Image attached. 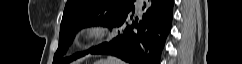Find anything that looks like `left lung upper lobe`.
I'll return each instance as SVG.
<instances>
[{
  "instance_id": "obj_1",
  "label": "left lung upper lobe",
  "mask_w": 242,
  "mask_h": 64,
  "mask_svg": "<svg viewBox=\"0 0 242 64\" xmlns=\"http://www.w3.org/2000/svg\"><path fill=\"white\" fill-rule=\"evenodd\" d=\"M133 2L134 0H68L63 12L59 46L53 64H66L92 50L91 48L60 60L81 28L96 25L114 26Z\"/></svg>"
}]
</instances>
